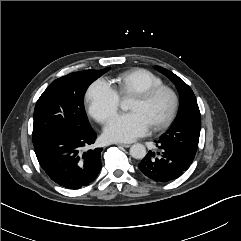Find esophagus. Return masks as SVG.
<instances>
[{
	"instance_id": "esophagus-1",
	"label": "esophagus",
	"mask_w": 241,
	"mask_h": 241,
	"mask_svg": "<svg viewBox=\"0 0 241 241\" xmlns=\"http://www.w3.org/2000/svg\"><path fill=\"white\" fill-rule=\"evenodd\" d=\"M117 145L125 147V148H129L131 146L130 144H125V143H119Z\"/></svg>"
}]
</instances>
